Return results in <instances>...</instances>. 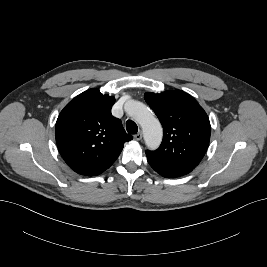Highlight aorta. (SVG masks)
<instances>
[{
	"label": "aorta",
	"mask_w": 267,
	"mask_h": 267,
	"mask_svg": "<svg viewBox=\"0 0 267 267\" xmlns=\"http://www.w3.org/2000/svg\"><path fill=\"white\" fill-rule=\"evenodd\" d=\"M125 111L141 125L146 145L150 149H156L161 143L163 131L152 111L138 101L126 103Z\"/></svg>",
	"instance_id": "aorta-1"
}]
</instances>
